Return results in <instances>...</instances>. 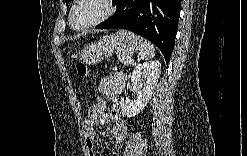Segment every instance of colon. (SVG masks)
<instances>
[{
  "mask_svg": "<svg viewBox=\"0 0 247 156\" xmlns=\"http://www.w3.org/2000/svg\"><path fill=\"white\" fill-rule=\"evenodd\" d=\"M76 70L80 77L85 79L89 78V70L83 62L77 63ZM104 103H106V98H96L93 107H91V110H88V118L90 124H93L94 121H97L98 118H101V113L99 112L100 109H102V106H104Z\"/></svg>",
  "mask_w": 247,
  "mask_h": 156,
  "instance_id": "1",
  "label": "colon"
}]
</instances>
